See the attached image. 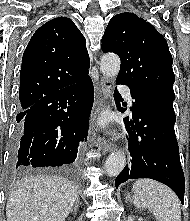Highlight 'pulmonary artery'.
<instances>
[{"label":"pulmonary artery","mask_w":190,"mask_h":221,"mask_svg":"<svg viewBox=\"0 0 190 221\" xmlns=\"http://www.w3.org/2000/svg\"><path fill=\"white\" fill-rule=\"evenodd\" d=\"M123 91H124V95H125L127 102L129 103L130 106H132L133 105V98L131 96L130 91L126 88H124Z\"/></svg>","instance_id":"1"}]
</instances>
